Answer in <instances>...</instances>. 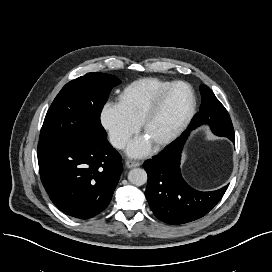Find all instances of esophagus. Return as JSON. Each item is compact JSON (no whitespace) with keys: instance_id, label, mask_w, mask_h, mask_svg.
Returning <instances> with one entry per match:
<instances>
[{"instance_id":"1","label":"esophagus","mask_w":272,"mask_h":272,"mask_svg":"<svg viewBox=\"0 0 272 272\" xmlns=\"http://www.w3.org/2000/svg\"><path fill=\"white\" fill-rule=\"evenodd\" d=\"M125 164L127 168H134L141 165L139 161H135V160H126Z\"/></svg>"}]
</instances>
